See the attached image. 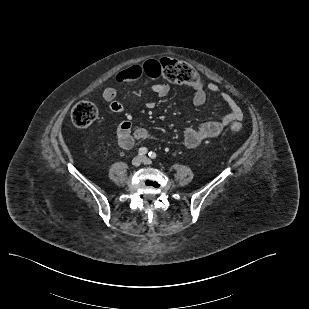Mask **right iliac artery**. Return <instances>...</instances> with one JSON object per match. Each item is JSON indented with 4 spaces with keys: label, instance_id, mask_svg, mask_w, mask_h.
Returning a JSON list of instances; mask_svg holds the SVG:
<instances>
[{
    "label": "right iliac artery",
    "instance_id": "obj_1",
    "mask_svg": "<svg viewBox=\"0 0 309 309\" xmlns=\"http://www.w3.org/2000/svg\"><path fill=\"white\" fill-rule=\"evenodd\" d=\"M148 152L147 148L145 147H141L139 150H138V153L139 155H146Z\"/></svg>",
    "mask_w": 309,
    "mask_h": 309
}]
</instances>
